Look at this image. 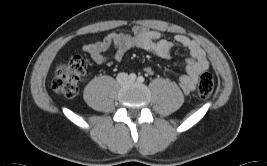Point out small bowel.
Here are the masks:
<instances>
[{
    "label": "small bowel",
    "mask_w": 267,
    "mask_h": 166,
    "mask_svg": "<svg viewBox=\"0 0 267 166\" xmlns=\"http://www.w3.org/2000/svg\"><path fill=\"white\" fill-rule=\"evenodd\" d=\"M174 40L189 51L186 74L179 78L178 83L185 93H190L195 89L199 74L208 69V60L201 46L188 36L177 34ZM173 46L174 44L171 41L161 39L157 31L135 26L132 34L114 32L100 41L85 44L82 49L95 64L102 65L110 59L105 53L111 47L113 48L111 58L115 61H120L125 53L132 48H139L157 57L170 59ZM146 71L147 73H152L149 67L146 68Z\"/></svg>",
    "instance_id": "obj_1"
}]
</instances>
